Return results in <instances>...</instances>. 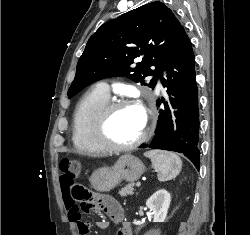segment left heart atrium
I'll return each mask as SVG.
<instances>
[{"label":"left heart atrium","instance_id":"left-heart-atrium-1","mask_svg":"<svg viewBox=\"0 0 250 235\" xmlns=\"http://www.w3.org/2000/svg\"><path fill=\"white\" fill-rule=\"evenodd\" d=\"M136 108H137V110H138L139 112L142 113V115H143V117H144V122H145V111H144V109H143L141 106H136Z\"/></svg>","mask_w":250,"mask_h":235}]
</instances>
